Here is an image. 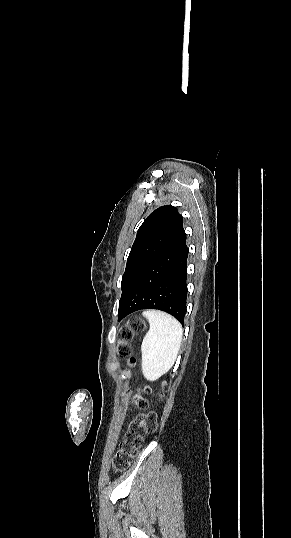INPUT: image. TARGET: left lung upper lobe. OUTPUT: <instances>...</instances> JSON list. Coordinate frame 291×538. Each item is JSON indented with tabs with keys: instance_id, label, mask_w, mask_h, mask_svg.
<instances>
[{
	"instance_id": "1",
	"label": "left lung upper lobe",
	"mask_w": 291,
	"mask_h": 538,
	"mask_svg": "<svg viewBox=\"0 0 291 538\" xmlns=\"http://www.w3.org/2000/svg\"><path fill=\"white\" fill-rule=\"evenodd\" d=\"M183 232V217L174 206H161L145 219L127 259L119 306L128 300L147 268Z\"/></svg>"
}]
</instances>
